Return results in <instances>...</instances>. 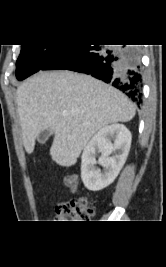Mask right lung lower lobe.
Masks as SVG:
<instances>
[{
	"mask_svg": "<svg viewBox=\"0 0 166 267\" xmlns=\"http://www.w3.org/2000/svg\"><path fill=\"white\" fill-rule=\"evenodd\" d=\"M67 69L91 75L142 103V70L136 48L110 49L101 45H63L40 69Z\"/></svg>",
	"mask_w": 166,
	"mask_h": 267,
	"instance_id": "98d812e1",
	"label": "right lung lower lobe"
}]
</instances>
